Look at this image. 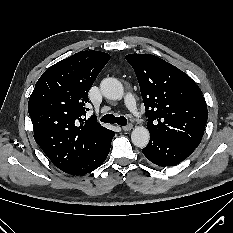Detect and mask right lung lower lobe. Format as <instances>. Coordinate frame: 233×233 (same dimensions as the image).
Wrapping results in <instances>:
<instances>
[{
	"label": "right lung lower lobe",
	"instance_id": "98d812e1",
	"mask_svg": "<svg viewBox=\"0 0 233 233\" xmlns=\"http://www.w3.org/2000/svg\"><path fill=\"white\" fill-rule=\"evenodd\" d=\"M114 135L115 133H113V135L104 143V145L92 156L63 171L71 175H84L97 169L106 160Z\"/></svg>",
	"mask_w": 233,
	"mask_h": 233
}]
</instances>
